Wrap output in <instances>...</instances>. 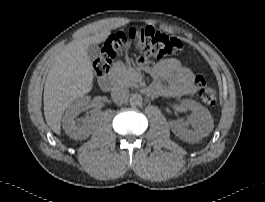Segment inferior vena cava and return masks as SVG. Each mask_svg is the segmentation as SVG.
I'll list each match as a JSON object with an SVG mask.
<instances>
[{"mask_svg": "<svg viewBox=\"0 0 265 202\" xmlns=\"http://www.w3.org/2000/svg\"><path fill=\"white\" fill-rule=\"evenodd\" d=\"M111 98L116 104H124L129 98V90L121 85H116L111 91Z\"/></svg>", "mask_w": 265, "mask_h": 202, "instance_id": "inferior-vena-cava-1", "label": "inferior vena cava"}]
</instances>
